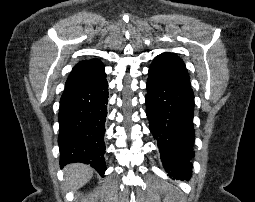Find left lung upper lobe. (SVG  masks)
<instances>
[{
  "label": "left lung upper lobe",
  "instance_id": "obj_1",
  "mask_svg": "<svg viewBox=\"0 0 255 202\" xmlns=\"http://www.w3.org/2000/svg\"><path fill=\"white\" fill-rule=\"evenodd\" d=\"M149 73L175 85L191 88L190 77L184 62L173 53H162L152 62Z\"/></svg>",
  "mask_w": 255,
  "mask_h": 202
}]
</instances>
